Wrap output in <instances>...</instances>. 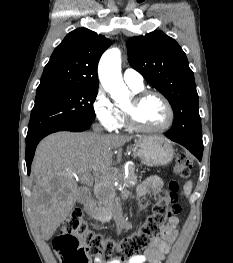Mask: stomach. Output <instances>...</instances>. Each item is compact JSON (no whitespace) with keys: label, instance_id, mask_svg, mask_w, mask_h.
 Segmentation results:
<instances>
[{"label":"stomach","instance_id":"obj_1","mask_svg":"<svg viewBox=\"0 0 233 263\" xmlns=\"http://www.w3.org/2000/svg\"><path fill=\"white\" fill-rule=\"evenodd\" d=\"M134 153L149 165H165L172 161L174 150L171 144L161 136L144 135L135 140Z\"/></svg>","mask_w":233,"mask_h":263}]
</instances>
